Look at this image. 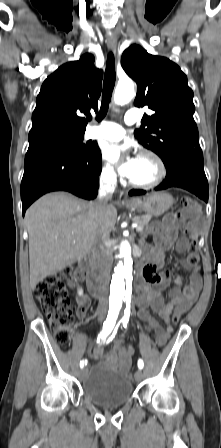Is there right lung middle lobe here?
<instances>
[{
	"instance_id": "dd1d6c3e",
	"label": "right lung middle lobe",
	"mask_w": 221,
	"mask_h": 448,
	"mask_svg": "<svg viewBox=\"0 0 221 448\" xmlns=\"http://www.w3.org/2000/svg\"><path fill=\"white\" fill-rule=\"evenodd\" d=\"M83 138L84 134L65 137L28 150H35L41 148H63L70 150L81 156H88L96 150V145H90L89 143L83 144Z\"/></svg>"
}]
</instances>
